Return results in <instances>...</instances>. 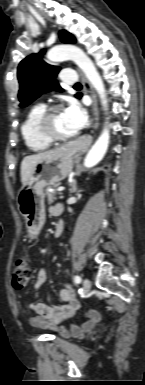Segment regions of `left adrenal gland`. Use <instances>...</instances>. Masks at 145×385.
Masks as SVG:
<instances>
[{
  "instance_id": "left-adrenal-gland-1",
  "label": "left adrenal gland",
  "mask_w": 145,
  "mask_h": 385,
  "mask_svg": "<svg viewBox=\"0 0 145 385\" xmlns=\"http://www.w3.org/2000/svg\"><path fill=\"white\" fill-rule=\"evenodd\" d=\"M70 187L71 194L77 192V182L75 179L71 182Z\"/></svg>"
}]
</instances>
